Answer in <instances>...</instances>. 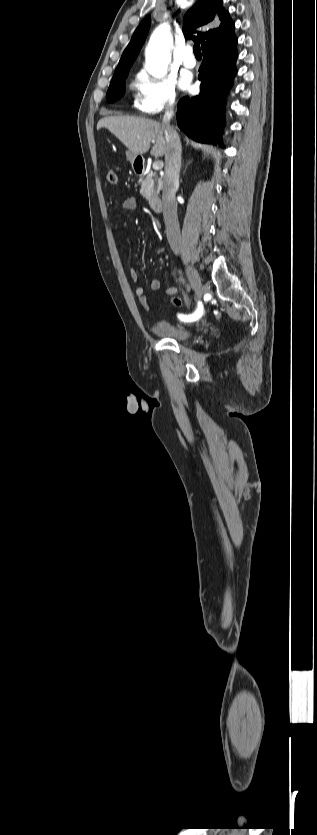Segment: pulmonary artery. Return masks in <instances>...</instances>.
I'll list each match as a JSON object with an SVG mask.
<instances>
[{
	"label": "pulmonary artery",
	"instance_id": "e3ab8cb5",
	"mask_svg": "<svg viewBox=\"0 0 317 835\" xmlns=\"http://www.w3.org/2000/svg\"><path fill=\"white\" fill-rule=\"evenodd\" d=\"M182 64L186 68H194L196 66V59L193 55V47L187 45L182 52Z\"/></svg>",
	"mask_w": 317,
	"mask_h": 835
}]
</instances>
